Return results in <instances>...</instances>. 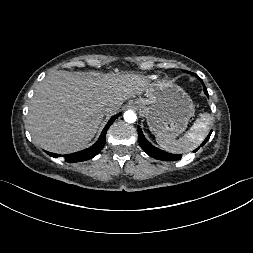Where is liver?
<instances>
[{
    "label": "liver",
    "instance_id": "liver-1",
    "mask_svg": "<svg viewBox=\"0 0 253 253\" xmlns=\"http://www.w3.org/2000/svg\"><path fill=\"white\" fill-rule=\"evenodd\" d=\"M142 75L56 71L37 87L27 117L34 141L43 149L69 154L86 147L96 134L107 105L148 91ZM109 113V114H110Z\"/></svg>",
    "mask_w": 253,
    "mask_h": 253
}]
</instances>
